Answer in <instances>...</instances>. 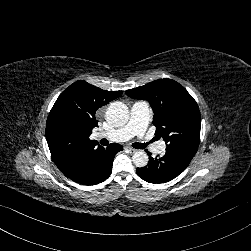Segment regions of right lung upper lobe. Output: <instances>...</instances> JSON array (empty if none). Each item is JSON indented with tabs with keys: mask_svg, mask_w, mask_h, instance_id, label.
<instances>
[{
	"mask_svg": "<svg viewBox=\"0 0 251 251\" xmlns=\"http://www.w3.org/2000/svg\"><path fill=\"white\" fill-rule=\"evenodd\" d=\"M122 91H106L79 80L67 87L53 105L46 123V139L60 171L102 149L89 139L97 126L95 112Z\"/></svg>",
	"mask_w": 251,
	"mask_h": 251,
	"instance_id": "1",
	"label": "right lung upper lobe"
}]
</instances>
